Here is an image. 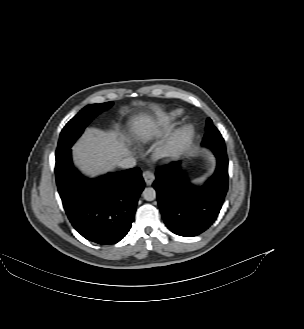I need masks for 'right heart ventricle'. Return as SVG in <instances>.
<instances>
[{
  "label": "right heart ventricle",
  "mask_w": 304,
  "mask_h": 329,
  "mask_svg": "<svg viewBox=\"0 0 304 329\" xmlns=\"http://www.w3.org/2000/svg\"><path fill=\"white\" fill-rule=\"evenodd\" d=\"M181 116V112L176 110L171 112L170 114L162 117L157 126H167L171 124L172 122L176 121ZM157 133L156 127H153L152 129L146 130V131H140L139 132V138L142 142L148 143L152 140L153 136H155Z\"/></svg>",
  "instance_id": "obj_1"
}]
</instances>
